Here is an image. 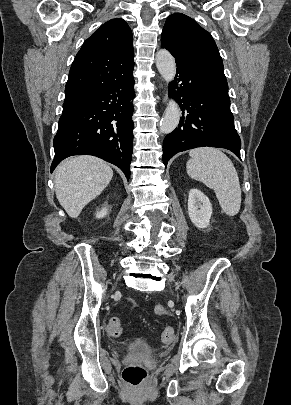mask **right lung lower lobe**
I'll return each mask as SVG.
<instances>
[{
  "instance_id": "1",
  "label": "right lung lower lobe",
  "mask_w": 291,
  "mask_h": 405,
  "mask_svg": "<svg viewBox=\"0 0 291 405\" xmlns=\"http://www.w3.org/2000/svg\"><path fill=\"white\" fill-rule=\"evenodd\" d=\"M133 83L131 75L91 93L62 113L53 141L51 172L66 157L87 154L115 164L130 178Z\"/></svg>"
}]
</instances>
